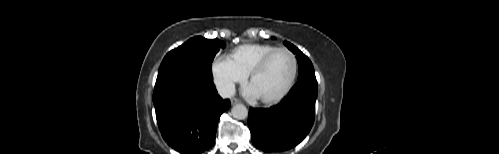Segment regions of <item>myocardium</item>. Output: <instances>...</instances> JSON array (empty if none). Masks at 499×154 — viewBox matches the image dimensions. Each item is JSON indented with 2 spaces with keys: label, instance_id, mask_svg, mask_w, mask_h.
<instances>
[{
  "label": "myocardium",
  "instance_id": "f54148a6",
  "mask_svg": "<svg viewBox=\"0 0 499 154\" xmlns=\"http://www.w3.org/2000/svg\"><path fill=\"white\" fill-rule=\"evenodd\" d=\"M280 52H284V53L288 54L289 57L291 58V60H292V73H291V76H290L288 83L286 84V86L283 88V90L279 94H277L276 96L271 97V98H260V101L264 104H267V105H272V104L278 103L292 89V87L295 83V80H296L297 72H298V62H297L295 55L287 48H276L275 50L266 54L248 73V81L251 82L252 79L256 75H258L259 73H261L264 70V68L266 67L268 62L271 60V58Z\"/></svg>",
  "mask_w": 499,
  "mask_h": 154
}]
</instances>
